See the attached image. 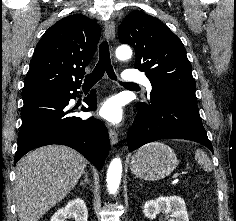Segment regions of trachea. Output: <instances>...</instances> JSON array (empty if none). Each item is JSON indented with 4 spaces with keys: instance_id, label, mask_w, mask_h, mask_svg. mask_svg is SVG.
<instances>
[{
    "instance_id": "trachea-1",
    "label": "trachea",
    "mask_w": 236,
    "mask_h": 221,
    "mask_svg": "<svg viewBox=\"0 0 236 221\" xmlns=\"http://www.w3.org/2000/svg\"><path fill=\"white\" fill-rule=\"evenodd\" d=\"M107 73L109 78L112 80H117V77L114 73L113 66L111 65L109 45L107 41H103L99 46V61L95 66L94 70L86 75L84 80V86H93L96 84L102 77L104 73ZM122 84V82H121ZM124 85H131L133 83L125 82Z\"/></svg>"
}]
</instances>
